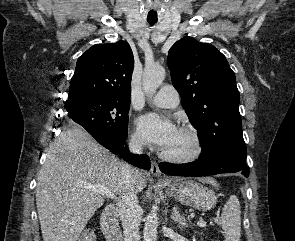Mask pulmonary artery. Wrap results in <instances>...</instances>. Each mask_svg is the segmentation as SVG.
<instances>
[{
  "mask_svg": "<svg viewBox=\"0 0 295 241\" xmlns=\"http://www.w3.org/2000/svg\"><path fill=\"white\" fill-rule=\"evenodd\" d=\"M152 103L162 108H175L178 106L180 97L172 86L162 87L151 99Z\"/></svg>",
  "mask_w": 295,
  "mask_h": 241,
  "instance_id": "pulmonary-artery-1",
  "label": "pulmonary artery"
}]
</instances>
